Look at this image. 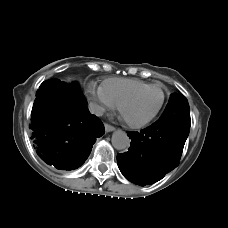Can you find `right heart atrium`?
I'll use <instances>...</instances> for the list:
<instances>
[{"instance_id": "1", "label": "right heart atrium", "mask_w": 228, "mask_h": 228, "mask_svg": "<svg viewBox=\"0 0 228 228\" xmlns=\"http://www.w3.org/2000/svg\"><path fill=\"white\" fill-rule=\"evenodd\" d=\"M88 95L97 112H103L114 108L112 101L100 89H95L92 85L88 88Z\"/></svg>"}]
</instances>
